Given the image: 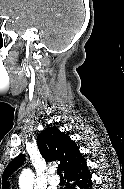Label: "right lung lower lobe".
Returning <instances> with one entry per match:
<instances>
[{"mask_svg": "<svg viewBox=\"0 0 124 189\" xmlns=\"http://www.w3.org/2000/svg\"><path fill=\"white\" fill-rule=\"evenodd\" d=\"M65 178L67 180L65 189H92L91 175L85 160L65 173Z\"/></svg>", "mask_w": 124, "mask_h": 189, "instance_id": "right-lung-lower-lobe-1", "label": "right lung lower lobe"}]
</instances>
